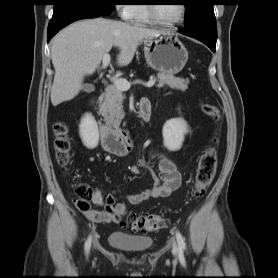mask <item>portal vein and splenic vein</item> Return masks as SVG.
<instances>
[{
	"mask_svg": "<svg viewBox=\"0 0 278 278\" xmlns=\"http://www.w3.org/2000/svg\"><path fill=\"white\" fill-rule=\"evenodd\" d=\"M110 63V55L108 53L103 55L102 58V66L103 68L107 67ZM111 81L114 83V85L122 90V91H127L131 87V83H129L127 80L122 79V78H112ZM135 83H141V82H135ZM145 87L151 88L155 84V79H150L147 83H142Z\"/></svg>",
	"mask_w": 278,
	"mask_h": 278,
	"instance_id": "portal-vein-and-splenic-vein-1",
	"label": "portal vein and splenic vein"
}]
</instances>
